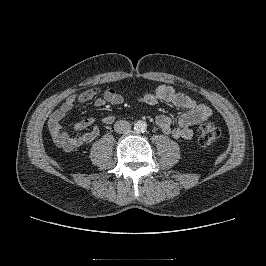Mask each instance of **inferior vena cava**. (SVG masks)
Returning a JSON list of instances; mask_svg holds the SVG:
<instances>
[{
  "instance_id": "inferior-vena-cava-1",
  "label": "inferior vena cava",
  "mask_w": 266,
  "mask_h": 266,
  "mask_svg": "<svg viewBox=\"0 0 266 266\" xmlns=\"http://www.w3.org/2000/svg\"><path fill=\"white\" fill-rule=\"evenodd\" d=\"M131 129V124L125 120H119L114 124V130L119 134L128 133Z\"/></svg>"
}]
</instances>
